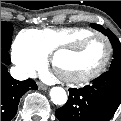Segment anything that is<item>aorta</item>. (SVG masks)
I'll list each match as a JSON object with an SVG mask.
<instances>
[{"label": "aorta", "instance_id": "1", "mask_svg": "<svg viewBox=\"0 0 121 121\" xmlns=\"http://www.w3.org/2000/svg\"><path fill=\"white\" fill-rule=\"evenodd\" d=\"M50 96L53 103L57 105H64L67 101V94L65 90L61 87H56L52 89Z\"/></svg>", "mask_w": 121, "mask_h": 121}]
</instances>
